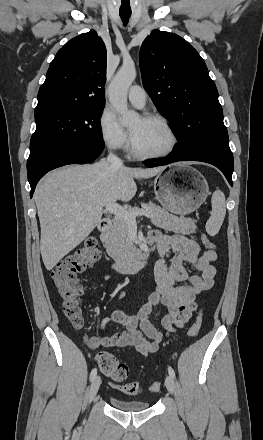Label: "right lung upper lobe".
<instances>
[{"label":"right lung upper lobe","instance_id":"cb5924a9","mask_svg":"<svg viewBox=\"0 0 263 440\" xmlns=\"http://www.w3.org/2000/svg\"><path fill=\"white\" fill-rule=\"evenodd\" d=\"M107 52L95 31L67 42L51 62L36 109L104 106Z\"/></svg>","mask_w":263,"mask_h":440}]
</instances>
